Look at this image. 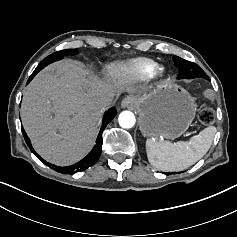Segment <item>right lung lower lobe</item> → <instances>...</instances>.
<instances>
[{"label": "right lung lower lobe", "mask_w": 237, "mask_h": 237, "mask_svg": "<svg viewBox=\"0 0 237 237\" xmlns=\"http://www.w3.org/2000/svg\"><path fill=\"white\" fill-rule=\"evenodd\" d=\"M36 74L32 73V75L30 76V78L28 80V83L33 79V77ZM116 114H117V111L114 107L109 109L104 114L102 127H101V130L99 132L98 138L96 140V145L94 146L92 151L84 159H82L80 162H78L76 164H73L71 166H67V167L54 166L53 164L46 162L43 158H41V156H39L34 151L32 145H31L30 139L28 138V136H27L26 132L24 131L23 127H22V133L24 135V138H25V141H26L27 145L29 146L31 151L37 156V158L41 162H43L44 164H46L47 166H49L51 168H54L55 171H57L59 173L74 174V173L86 170L87 168L94 165L96 163V161L99 159L101 151H102V143H103L102 132H103L104 128L107 126V124L116 116Z\"/></svg>", "instance_id": "obj_1"}]
</instances>
